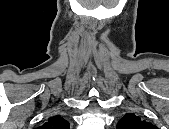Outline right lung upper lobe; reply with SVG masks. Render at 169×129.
Returning <instances> with one entry per match:
<instances>
[{
  "label": "right lung upper lobe",
  "mask_w": 169,
  "mask_h": 129,
  "mask_svg": "<svg viewBox=\"0 0 169 129\" xmlns=\"http://www.w3.org/2000/svg\"><path fill=\"white\" fill-rule=\"evenodd\" d=\"M42 127L45 129H68L69 123L61 116H53Z\"/></svg>",
  "instance_id": "obj_1"
}]
</instances>
